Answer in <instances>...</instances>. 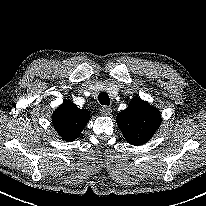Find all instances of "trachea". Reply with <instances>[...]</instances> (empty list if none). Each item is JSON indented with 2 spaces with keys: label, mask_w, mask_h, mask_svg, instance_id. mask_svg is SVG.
<instances>
[{
  "label": "trachea",
  "mask_w": 206,
  "mask_h": 206,
  "mask_svg": "<svg viewBox=\"0 0 206 206\" xmlns=\"http://www.w3.org/2000/svg\"><path fill=\"white\" fill-rule=\"evenodd\" d=\"M98 100L102 105H110V98L106 92H101L98 95Z\"/></svg>",
  "instance_id": "obj_1"
}]
</instances>
